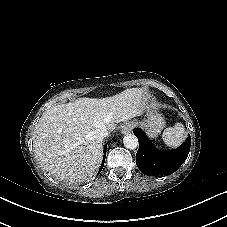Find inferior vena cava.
<instances>
[{"label": "inferior vena cava", "mask_w": 227, "mask_h": 227, "mask_svg": "<svg viewBox=\"0 0 227 227\" xmlns=\"http://www.w3.org/2000/svg\"><path fill=\"white\" fill-rule=\"evenodd\" d=\"M109 134V131L106 127L97 129L95 131V137L101 141H103L104 138H106Z\"/></svg>", "instance_id": "602c4592"}]
</instances>
